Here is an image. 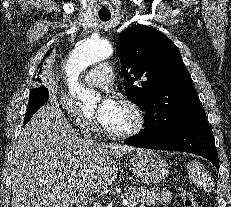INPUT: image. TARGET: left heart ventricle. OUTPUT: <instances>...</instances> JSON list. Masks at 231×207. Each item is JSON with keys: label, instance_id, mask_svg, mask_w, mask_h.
Instances as JSON below:
<instances>
[{"label": "left heart ventricle", "instance_id": "left-heart-ventricle-1", "mask_svg": "<svg viewBox=\"0 0 231 207\" xmlns=\"http://www.w3.org/2000/svg\"><path fill=\"white\" fill-rule=\"evenodd\" d=\"M104 125L113 131H125L134 125V117L132 112L127 107L119 104L115 114Z\"/></svg>", "mask_w": 231, "mask_h": 207}]
</instances>
